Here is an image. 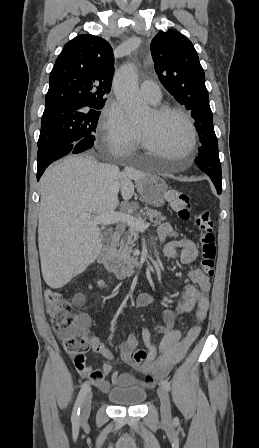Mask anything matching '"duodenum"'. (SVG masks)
<instances>
[{
    "label": "duodenum",
    "instance_id": "obj_1",
    "mask_svg": "<svg viewBox=\"0 0 259 448\" xmlns=\"http://www.w3.org/2000/svg\"><path fill=\"white\" fill-rule=\"evenodd\" d=\"M119 238V232L115 231L111 233L107 242L99 253L98 261L107 270L112 272L118 279H125L135 273V268L129 265H125L115 257L114 248L118 243Z\"/></svg>",
    "mask_w": 259,
    "mask_h": 448
}]
</instances>
